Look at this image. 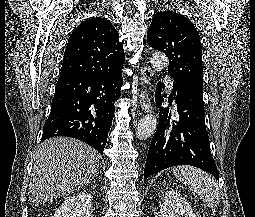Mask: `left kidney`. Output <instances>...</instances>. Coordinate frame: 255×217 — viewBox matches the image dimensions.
<instances>
[{
	"label": "left kidney",
	"instance_id": "obj_1",
	"mask_svg": "<svg viewBox=\"0 0 255 217\" xmlns=\"http://www.w3.org/2000/svg\"><path fill=\"white\" fill-rule=\"evenodd\" d=\"M159 213L160 217H196L191 205L175 190L165 193Z\"/></svg>",
	"mask_w": 255,
	"mask_h": 217
}]
</instances>
